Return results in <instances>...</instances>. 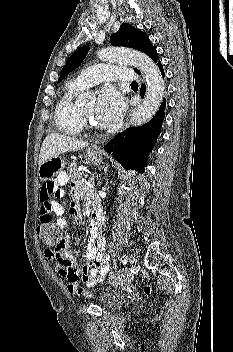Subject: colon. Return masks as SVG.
<instances>
[{
    "instance_id": "5ec220e1",
    "label": "colon",
    "mask_w": 233,
    "mask_h": 352,
    "mask_svg": "<svg viewBox=\"0 0 233 352\" xmlns=\"http://www.w3.org/2000/svg\"><path fill=\"white\" fill-rule=\"evenodd\" d=\"M38 235L46 244L51 246L62 245L64 243V232L52 223H41L38 227ZM76 292L80 296H84L86 298L91 297V293L85 289L79 288ZM152 292L153 289L151 286L148 285L145 287L146 294H151Z\"/></svg>"
}]
</instances>
